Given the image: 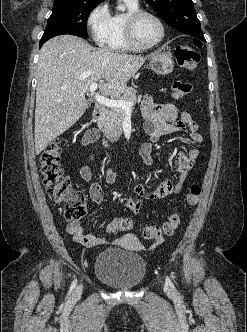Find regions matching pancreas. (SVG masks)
<instances>
[{
  "instance_id": "obj_1",
  "label": "pancreas",
  "mask_w": 247,
  "mask_h": 332,
  "mask_svg": "<svg viewBox=\"0 0 247 332\" xmlns=\"http://www.w3.org/2000/svg\"><path fill=\"white\" fill-rule=\"evenodd\" d=\"M120 100L137 103L136 90L132 87L126 89ZM125 111L121 108H107L98 121L99 128L104 132L105 136L111 141H117L123 133V121Z\"/></svg>"
}]
</instances>
